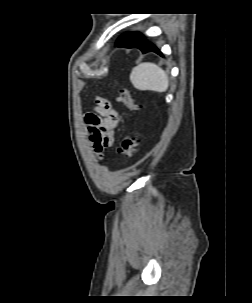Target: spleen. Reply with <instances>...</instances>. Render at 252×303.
<instances>
[{"label":"spleen","instance_id":"3e777b00","mask_svg":"<svg viewBox=\"0 0 252 303\" xmlns=\"http://www.w3.org/2000/svg\"><path fill=\"white\" fill-rule=\"evenodd\" d=\"M130 81L141 91L165 92L169 86L168 75L158 65L150 62L140 63L132 69Z\"/></svg>","mask_w":252,"mask_h":303}]
</instances>
